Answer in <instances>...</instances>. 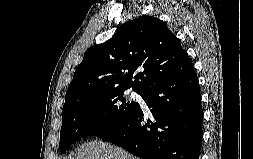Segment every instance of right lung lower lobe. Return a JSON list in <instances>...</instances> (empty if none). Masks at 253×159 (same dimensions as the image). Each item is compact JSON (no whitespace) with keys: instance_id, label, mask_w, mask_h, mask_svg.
<instances>
[{"instance_id":"obj_1","label":"right lung lower lobe","mask_w":253,"mask_h":159,"mask_svg":"<svg viewBox=\"0 0 253 159\" xmlns=\"http://www.w3.org/2000/svg\"><path fill=\"white\" fill-rule=\"evenodd\" d=\"M140 95L151 119L145 122L139 105L124 122L96 136L143 159H199L203 110L195 70Z\"/></svg>"}]
</instances>
